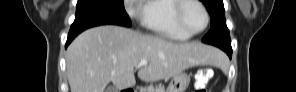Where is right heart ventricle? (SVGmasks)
Instances as JSON below:
<instances>
[{"mask_svg": "<svg viewBox=\"0 0 296 92\" xmlns=\"http://www.w3.org/2000/svg\"><path fill=\"white\" fill-rule=\"evenodd\" d=\"M179 0H152L146 2L143 25L148 30L172 40L190 38L176 24L174 13Z\"/></svg>", "mask_w": 296, "mask_h": 92, "instance_id": "e07e8e85", "label": "right heart ventricle"}]
</instances>
